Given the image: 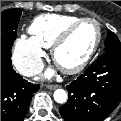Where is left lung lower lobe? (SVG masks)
I'll use <instances>...</instances> for the list:
<instances>
[{
	"mask_svg": "<svg viewBox=\"0 0 121 121\" xmlns=\"http://www.w3.org/2000/svg\"><path fill=\"white\" fill-rule=\"evenodd\" d=\"M67 90L59 109L65 121H102L121 100V52L102 54Z\"/></svg>",
	"mask_w": 121,
	"mask_h": 121,
	"instance_id": "obj_1",
	"label": "left lung lower lobe"
}]
</instances>
